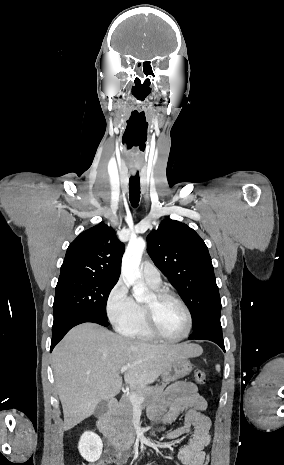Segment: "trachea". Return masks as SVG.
<instances>
[{
    "label": "trachea",
    "mask_w": 284,
    "mask_h": 465,
    "mask_svg": "<svg viewBox=\"0 0 284 465\" xmlns=\"http://www.w3.org/2000/svg\"><path fill=\"white\" fill-rule=\"evenodd\" d=\"M129 197L131 205L136 208L140 199V178L139 172L135 176L130 177L129 181Z\"/></svg>",
    "instance_id": "1"
}]
</instances>
